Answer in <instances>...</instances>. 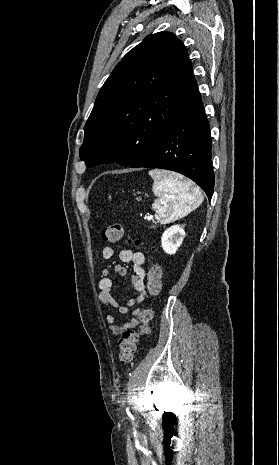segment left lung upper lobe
<instances>
[{
  "mask_svg": "<svg viewBox=\"0 0 279 465\" xmlns=\"http://www.w3.org/2000/svg\"><path fill=\"white\" fill-rule=\"evenodd\" d=\"M184 44L170 32L147 36L115 67L84 127L88 166L131 165L168 130L195 85Z\"/></svg>",
  "mask_w": 279,
  "mask_h": 465,
  "instance_id": "5c2ea615",
  "label": "left lung upper lobe"
}]
</instances>
